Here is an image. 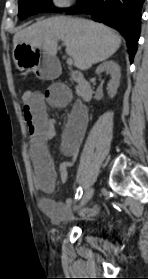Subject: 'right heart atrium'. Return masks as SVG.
I'll return each mask as SVG.
<instances>
[{
    "mask_svg": "<svg viewBox=\"0 0 148 279\" xmlns=\"http://www.w3.org/2000/svg\"><path fill=\"white\" fill-rule=\"evenodd\" d=\"M75 0H52V3L57 8H66L74 4Z\"/></svg>",
    "mask_w": 148,
    "mask_h": 279,
    "instance_id": "right-heart-atrium-1",
    "label": "right heart atrium"
}]
</instances>
